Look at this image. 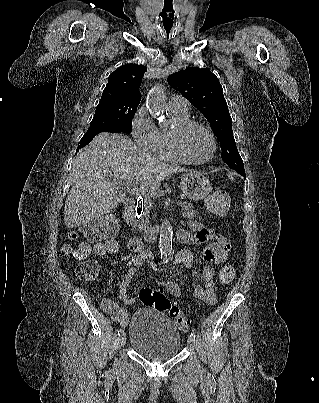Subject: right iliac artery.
Instances as JSON below:
<instances>
[{
    "instance_id": "1",
    "label": "right iliac artery",
    "mask_w": 319,
    "mask_h": 403,
    "mask_svg": "<svg viewBox=\"0 0 319 403\" xmlns=\"http://www.w3.org/2000/svg\"><path fill=\"white\" fill-rule=\"evenodd\" d=\"M123 333H124V331H123L122 329H120V330L117 331L118 336H120V335L123 334Z\"/></svg>"
}]
</instances>
